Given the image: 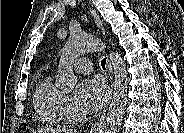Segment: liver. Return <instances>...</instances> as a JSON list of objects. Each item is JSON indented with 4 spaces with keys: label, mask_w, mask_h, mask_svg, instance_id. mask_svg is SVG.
Wrapping results in <instances>:
<instances>
[{
    "label": "liver",
    "mask_w": 184,
    "mask_h": 133,
    "mask_svg": "<svg viewBox=\"0 0 184 133\" xmlns=\"http://www.w3.org/2000/svg\"><path fill=\"white\" fill-rule=\"evenodd\" d=\"M33 133H71L70 130L67 129H37L33 130Z\"/></svg>",
    "instance_id": "1"
}]
</instances>
